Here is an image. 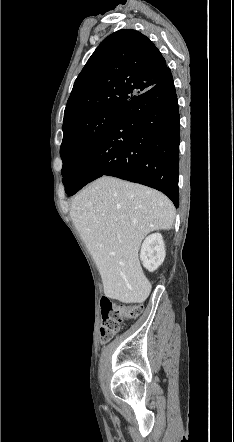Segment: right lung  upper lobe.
<instances>
[{
  "label": "right lung upper lobe",
  "instance_id": "1",
  "mask_svg": "<svg viewBox=\"0 0 234 442\" xmlns=\"http://www.w3.org/2000/svg\"><path fill=\"white\" fill-rule=\"evenodd\" d=\"M167 68L148 37L132 29L114 32L100 43L78 75L63 127L89 113L122 107L154 86Z\"/></svg>",
  "mask_w": 234,
  "mask_h": 442
}]
</instances>
